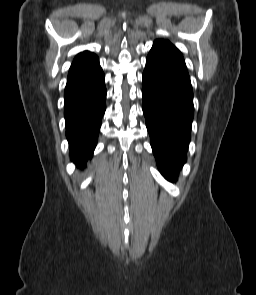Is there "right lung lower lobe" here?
Instances as JSON below:
<instances>
[{
    "instance_id": "1",
    "label": "right lung lower lobe",
    "mask_w": 256,
    "mask_h": 295,
    "mask_svg": "<svg viewBox=\"0 0 256 295\" xmlns=\"http://www.w3.org/2000/svg\"><path fill=\"white\" fill-rule=\"evenodd\" d=\"M104 73L98 57L72 63L64 92L66 137L71 160L84 167L97 145L101 119L106 109Z\"/></svg>"
}]
</instances>
